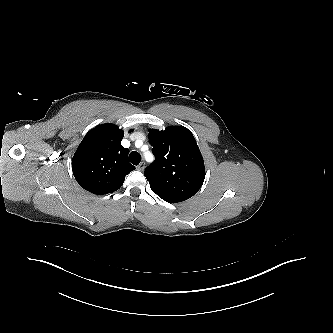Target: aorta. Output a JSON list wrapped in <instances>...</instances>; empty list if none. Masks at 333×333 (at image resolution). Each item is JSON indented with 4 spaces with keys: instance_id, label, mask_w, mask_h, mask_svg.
Returning <instances> with one entry per match:
<instances>
[{
    "instance_id": "obj_1",
    "label": "aorta",
    "mask_w": 333,
    "mask_h": 333,
    "mask_svg": "<svg viewBox=\"0 0 333 333\" xmlns=\"http://www.w3.org/2000/svg\"><path fill=\"white\" fill-rule=\"evenodd\" d=\"M150 154L147 152V153H145V157L147 158V156H149Z\"/></svg>"
}]
</instances>
